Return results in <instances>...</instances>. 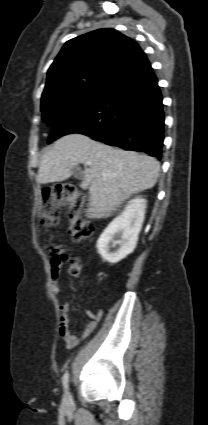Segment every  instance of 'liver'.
I'll return each instance as SVG.
<instances>
[{"mask_svg":"<svg viewBox=\"0 0 208 425\" xmlns=\"http://www.w3.org/2000/svg\"><path fill=\"white\" fill-rule=\"evenodd\" d=\"M86 162L92 164L84 170L80 187L89 189L90 218L110 216L131 195L152 188L160 170L153 157L113 148L74 133L58 139L42 155L37 181H64L74 167Z\"/></svg>","mask_w":208,"mask_h":425,"instance_id":"liver-1","label":"liver"}]
</instances>
